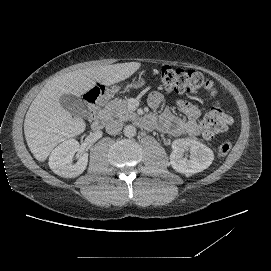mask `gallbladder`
<instances>
[{"label":"gallbladder","mask_w":271,"mask_h":271,"mask_svg":"<svg viewBox=\"0 0 271 271\" xmlns=\"http://www.w3.org/2000/svg\"><path fill=\"white\" fill-rule=\"evenodd\" d=\"M59 102L64 110L75 117H81L86 114L82 100L77 96L67 93L59 98Z\"/></svg>","instance_id":"1"}]
</instances>
